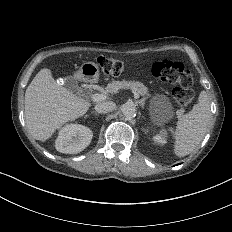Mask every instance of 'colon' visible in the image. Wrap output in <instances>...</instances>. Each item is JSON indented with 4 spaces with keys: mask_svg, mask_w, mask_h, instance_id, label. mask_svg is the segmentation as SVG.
<instances>
[{
    "mask_svg": "<svg viewBox=\"0 0 232 232\" xmlns=\"http://www.w3.org/2000/svg\"><path fill=\"white\" fill-rule=\"evenodd\" d=\"M118 56H99L95 62L97 66L103 68L104 73L112 75H123L130 68V63L126 59L119 60ZM154 72L158 76H164L166 82H175L181 94H178V105H192L193 96L197 91V86H193V74H189L187 66L183 62H159L154 67ZM177 111H192V106H177Z\"/></svg>",
    "mask_w": 232,
    "mask_h": 232,
    "instance_id": "obj_1",
    "label": "colon"
}]
</instances>
